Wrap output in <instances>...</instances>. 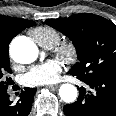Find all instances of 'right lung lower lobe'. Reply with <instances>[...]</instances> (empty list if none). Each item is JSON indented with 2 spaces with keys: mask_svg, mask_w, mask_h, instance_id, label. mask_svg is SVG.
<instances>
[{
  "mask_svg": "<svg viewBox=\"0 0 116 116\" xmlns=\"http://www.w3.org/2000/svg\"><path fill=\"white\" fill-rule=\"evenodd\" d=\"M36 90V88H25L15 104L10 101L9 94L0 95V116H28Z\"/></svg>",
  "mask_w": 116,
  "mask_h": 116,
  "instance_id": "1",
  "label": "right lung lower lobe"
}]
</instances>
